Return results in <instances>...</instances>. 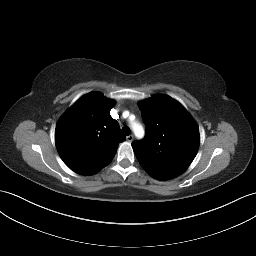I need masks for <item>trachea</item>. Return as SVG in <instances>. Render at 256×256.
<instances>
[{
  "label": "trachea",
  "mask_w": 256,
  "mask_h": 256,
  "mask_svg": "<svg viewBox=\"0 0 256 256\" xmlns=\"http://www.w3.org/2000/svg\"><path fill=\"white\" fill-rule=\"evenodd\" d=\"M122 133L127 136L130 135V128L128 126H124L122 128Z\"/></svg>",
  "instance_id": "3493384b"
}]
</instances>
